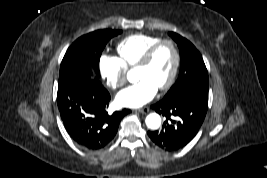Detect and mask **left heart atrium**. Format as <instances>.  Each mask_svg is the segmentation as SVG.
Instances as JSON below:
<instances>
[{"label":"left heart atrium","instance_id":"1","mask_svg":"<svg viewBox=\"0 0 267 178\" xmlns=\"http://www.w3.org/2000/svg\"><path fill=\"white\" fill-rule=\"evenodd\" d=\"M157 91L158 88L151 81L141 79L121 90L116 96V102L123 107L139 108L151 101Z\"/></svg>","mask_w":267,"mask_h":178}]
</instances>
